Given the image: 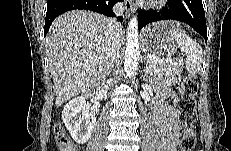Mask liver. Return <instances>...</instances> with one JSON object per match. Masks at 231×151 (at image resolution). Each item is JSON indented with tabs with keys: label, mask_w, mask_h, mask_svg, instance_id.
Here are the masks:
<instances>
[{
	"label": "liver",
	"mask_w": 231,
	"mask_h": 151,
	"mask_svg": "<svg viewBox=\"0 0 231 151\" xmlns=\"http://www.w3.org/2000/svg\"><path fill=\"white\" fill-rule=\"evenodd\" d=\"M108 31V18L92 11L73 10L54 20L45 46L57 107L100 83L106 70ZM117 40L121 46L122 31Z\"/></svg>",
	"instance_id": "1"
}]
</instances>
